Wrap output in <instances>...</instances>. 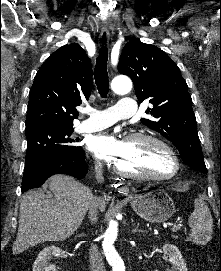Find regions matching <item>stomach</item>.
<instances>
[{
  "label": "stomach",
  "instance_id": "stomach-1",
  "mask_svg": "<svg viewBox=\"0 0 221 271\" xmlns=\"http://www.w3.org/2000/svg\"><path fill=\"white\" fill-rule=\"evenodd\" d=\"M133 211L146 221H166L175 211L172 197L164 189H151L144 195H135L131 201Z\"/></svg>",
  "mask_w": 221,
  "mask_h": 271
}]
</instances>
